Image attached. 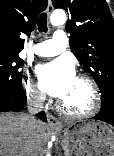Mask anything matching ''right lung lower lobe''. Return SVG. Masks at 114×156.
Here are the masks:
<instances>
[{"instance_id":"98d812e1","label":"right lung lower lobe","mask_w":114,"mask_h":156,"mask_svg":"<svg viewBox=\"0 0 114 156\" xmlns=\"http://www.w3.org/2000/svg\"><path fill=\"white\" fill-rule=\"evenodd\" d=\"M26 99L24 92L19 95L0 94V112L21 111L25 107ZM37 117L46 122L44 112L37 114Z\"/></svg>"}]
</instances>
